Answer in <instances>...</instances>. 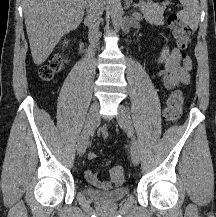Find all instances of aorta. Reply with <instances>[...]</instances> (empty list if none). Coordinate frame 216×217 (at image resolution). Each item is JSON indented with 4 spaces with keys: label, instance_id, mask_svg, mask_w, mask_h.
I'll return each instance as SVG.
<instances>
[{
    "label": "aorta",
    "instance_id": "1",
    "mask_svg": "<svg viewBox=\"0 0 216 217\" xmlns=\"http://www.w3.org/2000/svg\"><path fill=\"white\" fill-rule=\"evenodd\" d=\"M110 15L114 28L119 29L123 21V8L121 5V0H110Z\"/></svg>",
    "mask_w": 216,
    "mask_h": 217
}]
</instances>
